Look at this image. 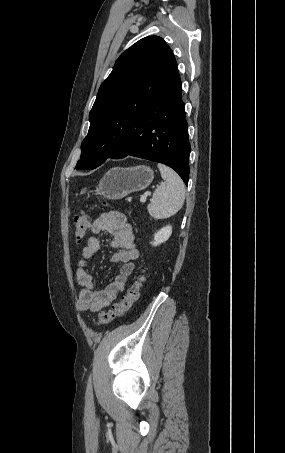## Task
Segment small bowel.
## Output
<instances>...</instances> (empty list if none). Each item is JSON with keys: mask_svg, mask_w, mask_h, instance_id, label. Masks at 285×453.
Wrapping results in <instances>:
<instances>
[{"mask_svg": "<svg viewBox=\"0 0 285 453\" xmlns=\"http://www.w3.org/2000/svg\"><path fill=\"white\" fill-rule=\"evenodd\" d=\"M90 231L92 235L81 249V260L76 268V280L81 286L77 304L82 312L97 313L126 290L128 277L135 268L134 261L140 253L134 241L132 227L120 212L100 214L91 223ZM101 232L111 235L110 245L116 249L111 261L122 265L119 274L111 283L102 290H96L93 277L87 269V262L100 250L97 235Z\"/></svg>", "mask_w": 285, "mask_h": 453, "instance_id": "1", "label": "small bowel"}]
</instances>
